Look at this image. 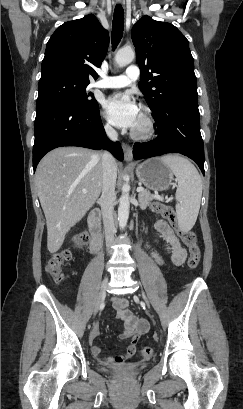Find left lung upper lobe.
<instances>
[{
  "mask_svg": "<svg viewBox=\"0 0 243 409\" xmlns=\"http://www.w3.org/2000/svg\"><path fill=\"white\" fill-rule=\"evenodd\" d=\"M131 36L141 70L139 88L153 116L181 96L197 95L189 42L174 25L143 16Z\"/></svg>",
  "mask_w": 243,
  "mask_h": 409,
  "instance_id": "obj_1",
  "label": "left lung upper lobe"
}]
</instances>
